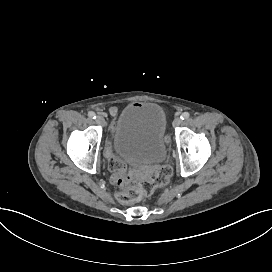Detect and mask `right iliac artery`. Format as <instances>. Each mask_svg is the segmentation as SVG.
<instances>
[{
	"label": "right iliac artery",
	"instance_id": "82829eb1",
	"mask_svg": "<svg viewBox=\"0 0 272 272\" xmlns=\"http://www.w3.org/2000/svg\"><path fill=\"white\" fill-rule=\"evenodd\" d=\"M88 116H89L90 118H92V119H95V118H96V114H95L94 112H92V111H90V112L88 113Z\"/></svg>",
	"mask_w": 272,
	"mask_h": 272
}]
</instances>
